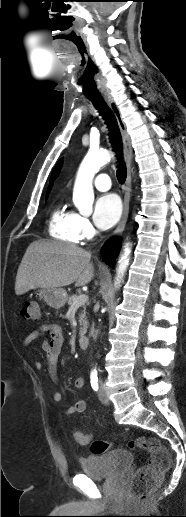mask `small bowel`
Returning <instances> with one entry per match:
<instances>
[{
  "label": "small bowel",
  "instance_id": "1",
  "mask_svg": "<svg viewBox=\"0 0 186 517\" xmlns=\"http://www.w3.org/2000/svg\"><path fill=\"white\" fill-rule=\"evenodd\" d=\"M44 338L42 347L43 350L46 353V362H47V369L49 372L50 377L54 381H58L57 377V361L59 358V355L61 354L63 350V343H64V335L63 330L60 326L53 324V323H44L40 325L38 328L30 332L27 337L24 340V345L26 347L30 346L36 339L38 338ZM36 366L41 368L42 363L37 361ZM85 385V379L83 377H78L74 381V387L75 388H82ZM53 400L55 402H60L62 400V394L60 392H55L53 394ZM87 404L85 401H77L75 404L67 407L64 410V413L66 415H72L75 413H81L86 410ZM81 435L86 437V441L83 443H79L80 445H87L91 440V435L89 434H82Z\"/></svg>",
  "mask_w": 186,
  "mask_h": 517
}]
</instances>
